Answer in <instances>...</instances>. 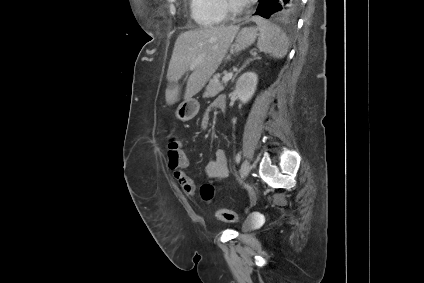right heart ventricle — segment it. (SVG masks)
<instances>
[{"label": "right heart ventricle", "mask_w": 424, "mask_h": 283, "mask_svg": "<svg viewBox=\"0 0 424 283\" xmlns=\"http://www.w3.org/2000/svg\"><path fill=\"white\" fill-rule=\"evenodd\" d=\"M191 16L201 27L211 28L226 20L223 0H190Z\"/></svg>", "instance_id": "1"}]
</instances>
